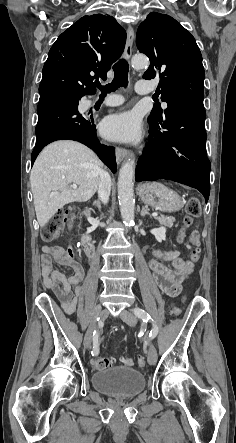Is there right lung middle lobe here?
<instances>
[{
  "label": "right lung middle lobe",
  "mask_w": 236,
  "mask_h": 443,
  "mask_svg": "<svg viewBox=\"0 0 236 443\" xmlns=\"http://www.w3.org/2000/svg\"><path fill=\"white\" fill-rule=\"evenodd\" d=\"M75 97H76V98H79V99L81 98V97H77V96H75Z\"/></svg>",
  "instance_id": "1"
}]
</instances>
